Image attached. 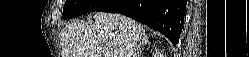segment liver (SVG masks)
<instances>
[{"instance_id": "obj_1", "label": "liver", "mask_w": 249, "mask_h": 57, "mask_svg": "<svg viewBox=\"0 0 249 57\" xmlns=\"http://www.w3.org/2000/svg\"><path fill=\"white\" fill-rule=\"evenodd\" d=\"M93 18V25L73 21L62 30V57H137L147 37L142 24L112 13L97 12Z\"/></svg>"}]
</instances>
